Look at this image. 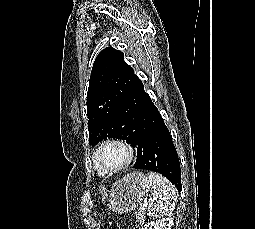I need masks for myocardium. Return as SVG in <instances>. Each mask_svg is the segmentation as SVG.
I'll return each mask as SVG.
<instances>
[{
    "mask_svg": "<svg viewBox=\"0 0 255 229\" xmlns=\"http://www.w3.org/2000/svg\"><path fill=\"white\" fill-rule=\"evenodd\" d=\"M111 145L119 146V147L123 148L126 152L125 161L121 165L116 166V167L105 166L102 163V160L100 158L101 152L104 150V148H106L107 146H111ZM133 159H134V149H133L132 145L128 141H126L122 138H118V137H110V138L103 140L96 147L94 154H93L94 165L97 167H100L105 173L120 172V171L126 169L132 163Z\"/></svg>",
    "mask_w": 255,
    "mask_h": 229,
    "instance_id": "myocardium-1",
    "label": "myocardium"
}]
</instances>
